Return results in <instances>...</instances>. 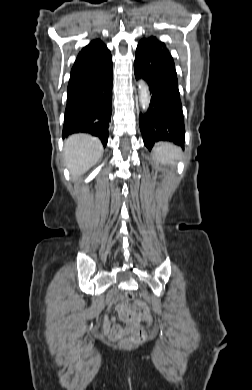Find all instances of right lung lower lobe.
I'll return each mask as SVG.
<instances>
[{"mask_svg":"<svg viewBox=\"0 0 252 390\" xmlns=\"http://www.w3.org/2000/svg\"><path fill=\"white\" fill-rule=\"evenodd\" d=\"M112 66L101 75L68 84L62 137L90 133L99 137L106 146L111 121Z\"/></svg>","mask_w":252,"mask_h":390,"instance_id":"1","label":"right lung lower lobe"}]
</instances>
